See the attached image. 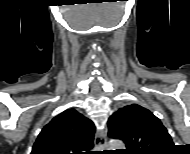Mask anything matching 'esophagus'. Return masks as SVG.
<instances>
[{
  "label": "esophagus",
  "instance_id": "1",
  "mask_svg": "<svg viewBox=\"0 0 190 154\" xmlns=\"http://www.w3.org/2000/svg\"><path fill=\"white\" fill-rule=\"evenodd\" d=\"M107 144V134L105 130H97L94 139L95 149L104 152Z\"/></svg>",
  "mask_w": 190,
  "mask_h": 154
}]
</instances>
